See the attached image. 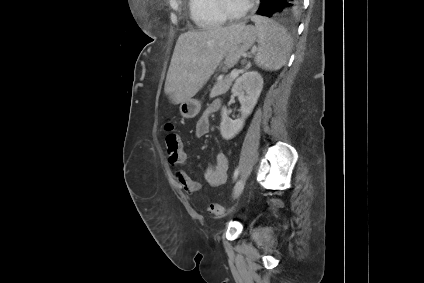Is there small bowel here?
Returning <instances> with one entry per match:
<instances>
[{
	"instance_id": "1",
	"label": "small bowel",
	"mask_w": 424,
	"mask_h": 283,
	"mask_svg": "<svg viewBox=\"0 0 424 283\" xmlns=\"http://www.w3.org/2000/svg\"><path fill=\"white\" fill-rule=\"evenodd\" d=\"M221 106L220 100H214L201 114L196 122L195 134L198 137L204 136L209 132V118L212 113L217 111ZM168 161L171 165H182L186 161V154L183 146L180 152L175 154L170 148H167ZM172 157H176V161H172ZM229 162L227 154L220 151L216 154L215 162L205 169V180L211 187H217L224 184L228 178ZM176 180L182 189L188 194H194L201 189V184L193 180L186 171L177 170L175 173Z\"/></svg>"
}]
</instances>
